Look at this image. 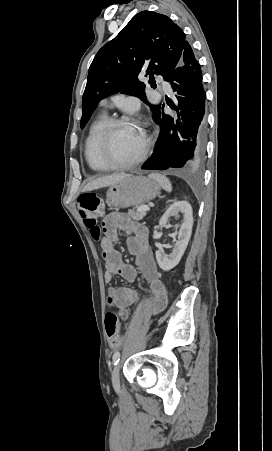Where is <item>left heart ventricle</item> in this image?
<instances>
[{"mask_svg":"<svg viewBox=\"0 0 272 451\" xmlns=\"http://www.w3.org/2000/svg\"><path fill=\"white\" fill-rule=\"evenodd\" d=\"M143 138L141 130L132 124H120L111 131L110 161L120 163L128 160L132 150Z\"/></svg>","mask_w":272,"mask_h":451,"instance_id":"obj_1","label":"left heart ventricle"}]
</instances>
